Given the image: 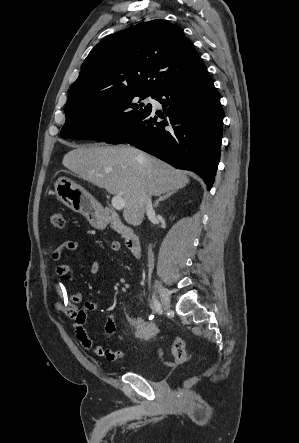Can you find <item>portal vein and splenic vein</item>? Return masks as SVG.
Returning a JSON list of instances; mask_svg holds the SVG:
<instances>
[{
	"mask_svg": "<svg viewBox=\"0 0 299 443\" xmlns=\"http://www.w3.org/2000/svg\"><path fill=\"white\" fill-rule=\"evenodd\" d=\"M112 206L116 210H122L125 207V201L121 196H114L111 200Z\"/></svg>",
	"mask_w": 299,
	"mask_h": 443,
	"instance_id": "obj_1",
	"label": "portal vein and splenic vein"
}]
</instances>
